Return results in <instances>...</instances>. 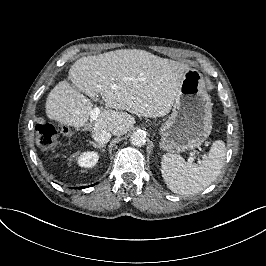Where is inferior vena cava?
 I'll list each match as a JSON object with an SVG mask.
<instances>
[{
	"mask_svg": "<svg viewBox=\"0 0 266 266\" xmlns=\"http://www.w3.org/2000/svg\"><path fill=\"white\" fill-rule=\"evenodd\" d=\"M92 137L100 144H105L111 139V133L107 130H94Z\"/></svg>",
	"mask_w": 266,
	"mask_h": 266,
	"instance_id": "inferior-vena-cava-1",
	"label": "inferior vena cava"
}]
</instances>
